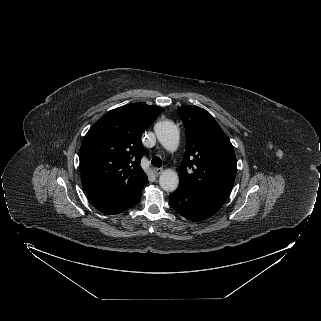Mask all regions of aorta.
I'll list each match as a JSON object with an SVG mask.
<instances>
[{"label": "aorta", "instance_id": "762f6f07", "mask_svg": "<svg viewBox=\"0 0 321 321\" xmlns=\"http://www.w3.org/2000/svg\"><path fill=\"white\" fill-rule=\"evenodd\" d=\"M155 134L160 144L168 151H175L179 145V130L177 126L169 120L160 121L154 127ZM160 187L165 191H175L179 185L178 174L166 169L159 177Z\"/></svg>", "mask_w": 321, "mask_h": 321}]
</instances>
